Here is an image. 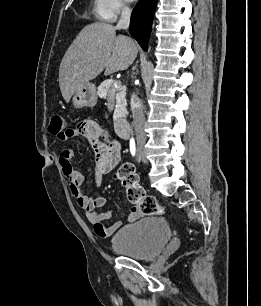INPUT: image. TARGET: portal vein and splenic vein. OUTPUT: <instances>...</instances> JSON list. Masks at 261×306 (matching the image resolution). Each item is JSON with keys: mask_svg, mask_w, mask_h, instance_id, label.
<instances>
[{"mask_svg": "<svg viewBox=\"0 0 261 306\" xmlns=\"http://www.w3.org/2000/svg\"><path fill=\"white\" fill-rule=\"evenodd\" d=\"M120 85H121L120 82H115V83H114V87H116V88L120 87Z\"/></svg>", "mask_w": 261, "mask_h": 306, "instance_id": "obj_1", "label": "portal vein and splenic vein"}]
</instances>
